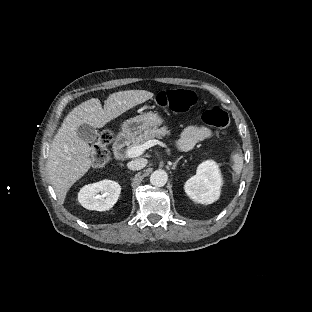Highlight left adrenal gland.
Here are the masks:
<instances>
[{"label":"left adrenal gland","mask_w":312,"mask_h":312,"mask_svg":"<svg viewBox=\"0 0 312 312\" xmlns=\"http://www.w3.org/2000/svg\"><path fill=\"white\" fill-rule=\"evenodd\" d=\"M183 159V157H179L178 160L174 163V164H171V169L172 170H175L176 169V166L178 165L179 161Z\"/></svg>","instance_id":"a2214340"}]
</instances>
